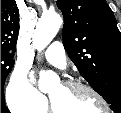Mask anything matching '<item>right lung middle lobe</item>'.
<instances>
[{
	"label": "right lung middle lobe",
	"instance_id": "obj_1",
	"mask_svg": "<svg viewBox=\"0 0 121 113\" xmlns=\"http://www.w3.org/2000/svg\"><path fill=\"white\" fill-rule=\"evenodd\" d=\"M14 65L12 57L8 53L1 52V101H4V82Z\"/></svg>",
	"mask_w": 121,
	"mask_h": 113
}]
</instances>
